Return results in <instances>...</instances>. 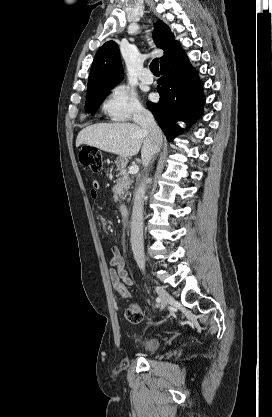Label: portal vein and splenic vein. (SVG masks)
<instances>
[{"label": "portal vein and splenic vein", "instance_id": "portal-vein-and-splenic-vein-1", "mask_svg": "<svg viewBox=\"0 0 272 417\" xmlns=\"http://www.w3.org/2000/svg\"><path fill=\"white\" fill-rule=\"evenodd\" d=\"M130 174L134 175L139 172V167L137 165H132L128 171Z\"/></svg>", "mask_w": 272, "mask_h": 417}]
</instances>
